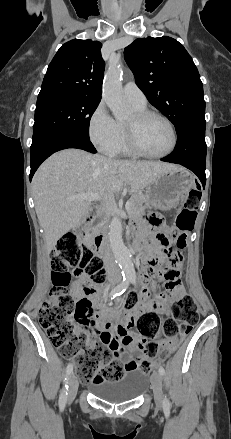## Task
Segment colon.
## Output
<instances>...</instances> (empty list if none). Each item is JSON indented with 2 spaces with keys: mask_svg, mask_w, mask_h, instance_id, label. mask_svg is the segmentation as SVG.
<instances>
[{
  "mask_svg": "<svg viewBox=\"0 0 231 439\" xmlns=\"http://www.w3.org/2000/svg\"><path fill=\"white\" fill-rule=\"evenodd\" d=\"M200 193L192 191L186 197L182 210L176 215L174 224L178 230L177 241L184 244L187 233L194 229ZM160 219L155 217L152 221ZM166 241L164 235H158ZM173 250L167 255H172ZM53 289L49 299L39 309V323L51 344L65 359H73L83 382L117 381L126 369L139 368L150 373L170 350L160 355L157 340L164 334L168 340L177 342L188 335L198 321L196 304L189 294L181 295L174 303L167 317L162 318L156 312H145L137 320L139 334L145 340L144 353L146 359L125 364L113 360L110 351L96 342L88 345L93 339L92 330L81 321V316L89 308V302L76 300L73 286L82 279L81 287L86 294L92 293L97 285L105 281L106 272L103 262L91 249L83 245L74 233L64 235L56 244L51 255ZM166 281H170L174 273L167 270L163 273ZM72 277L77 280L73 281ZM71 286V289L69 287ZM139 302L136 293H132L125 301L126 310H132ZM86 346V352L81 353Z\"/></svg>",
  "mask_w": 231,
  "mask_h": 439,
  "instance_id": "1",
  "label": "colon"
}]
</instances>
